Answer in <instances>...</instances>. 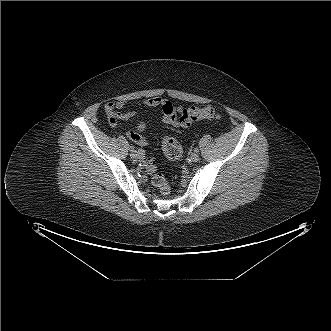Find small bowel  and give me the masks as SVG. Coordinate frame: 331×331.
Instances as JSON below:
<instances>
[{"label": "small bowel", "instance_id": "c3829d8e", "mask_svg": "<svg viewBox=\"0 0 331 331\" xmlns=\"http://www.w3.org/2000/svg\"><path fill=\"white\" fill-rule=\"evenodd\" d=\"M143 104L148 107H160L163 113L162 122L165 125L175 128L186 127L181 122V113L184 109L183 106L174 104L159 96L145 99ZM125 107L126 105L123 101H111L104 105V112L111 127H116L118 121L128 120L135 115V110L131 109L125 111ZM127 137L141 146L147 144L146 139L138 131H129Z\"/></svg>", "mask_w": 331, "mask_h": 331}]
</instances>
